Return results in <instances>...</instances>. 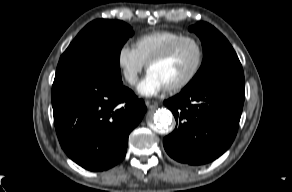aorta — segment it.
<instances>
[{"label":"aorta","instance_id":"1","mask_svg":"<svg viewBox=\"0 0 292 192\" xmlns=\"http://www.w3.org/2000/svg\"><path fill=\"white\" fill-rule=\"evenodd\" d=\"M172 119L173 116L169 110L166 109L157 110L153 117L155 129L159 133H167L168 128L172 123Z\"/></svg>","mask_w":292,"mask_h":192}]
</instances>
